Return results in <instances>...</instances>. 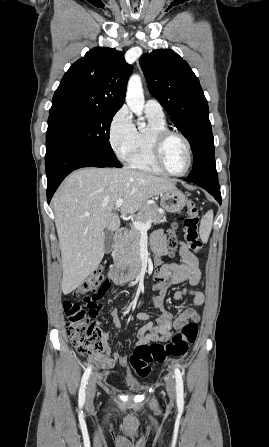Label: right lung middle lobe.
<instances>
[{"instance_id": "1", "label": "right lung middle lobe", "mask_w": 269, "mask_h": 447, "mask_svg": "<svg viewBox=\"0 0 269 447\" xmlns=\"http://www.w3.org/2000/svg\"><path fill=\"white\" fill-rule=\"evenodd\" d=\"M116 111H59L50 113L47 133L92 147L109 155L110 124Z\"/></svg>"}]
</instances>
